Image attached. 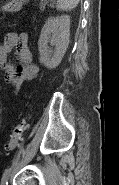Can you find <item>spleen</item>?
<instances>
[{"label":"spleen","mask_w":119,"mask_h":185,"mask_svg":"<svg viewBox=\"0 0 119 185\" xmlns=\"http://www.w3.org/2000/svg\"><path fill=\"white\" fill-rule=\"evenodd\" d=\"M79 0H57V8L59 10L68 11L75 8Z\"/></svg>","instance_id":"spleen-1"}]
</instances>
